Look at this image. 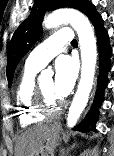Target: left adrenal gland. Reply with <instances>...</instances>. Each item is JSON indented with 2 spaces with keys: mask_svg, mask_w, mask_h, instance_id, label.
<instances>
[{
  "mask_svg": "<svg viewBox=\"0 0 114 156\" xmlns=\"http://www.w3.org/2000/svg\"><path fill=\"white\" fill-rule=\"evenodd\" d=\"M74 146H75V144L72 145L71 148H68V149L66 150V153H68L70 149L74 148ZM61 156H66L64 150H62V154H61Z\"/></svg>",
  "mask_w": 114,
  "mask_h": 156,
  "instance_id": "a2214340",
  "label": "left adrenal gland"
}]
</instances>
